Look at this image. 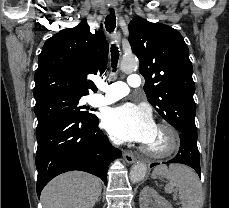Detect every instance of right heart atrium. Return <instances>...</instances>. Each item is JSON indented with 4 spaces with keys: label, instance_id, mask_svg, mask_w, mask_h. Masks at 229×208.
Wrapping results in <instances>:
<instances>
[{
    "label": "right heart atrium",
    "instance_id": "obj_1",
    "mask_svg": "<svg viewBox=\"0 0 229 208\" xmlns=\"http://www.w3.org/2000/svg\"><path fill=\"white\" fill-rule=\"evenodd\" d=\"M111 141H112L113 143H116L115 139H113V138L111 139Z\"/></svg>",
    "mask_w": 229,
    "mask_h": 208
}]
</instances>
